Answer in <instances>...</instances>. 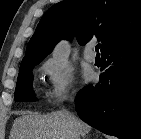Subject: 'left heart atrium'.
<instances>
[{
    "label": "left heart atrium",
    "mask_w": 141,
    "mask_h": 139,
    "mask_svg": "<svg viewBox=\"0 0 141 139\" xmlns=\"http://www.w3.org/2000/svg\"><path fill=\"white\" fill-rule=\"evenodd\" d=\"M92 77H93V75H92L91 72H85V73H84V79H85L86 81H90V80L92 79Z\"/></svg>",
    "instance_id": "left-heart-atrium-1"
}]
</instances>
